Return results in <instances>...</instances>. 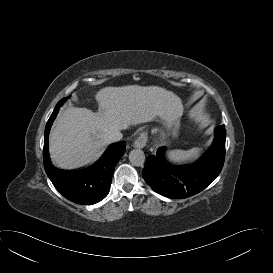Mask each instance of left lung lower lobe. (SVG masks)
Masks as SVG:
<instances>
[{
	"instance_id": "left-lung-lower-lobe-1",
	"label": "left lung lower lobe",
	"mask_w": 273,
	"mask_h": 273,
	"mask_svg": "<svg viewBox=\"0 0 273 273\" xmlns=\"http://www.w3.org/2000/svg\"><path fill=\"white\" fill-rule=\"evenodd\" d=\"M165 147L150 155L142 172L148 185L158 194L169 198H187L205 189L222 170L225 143L214 139L210 149L195 163L174 166L165 157Z\"/></svg>"
}]
</instances>
